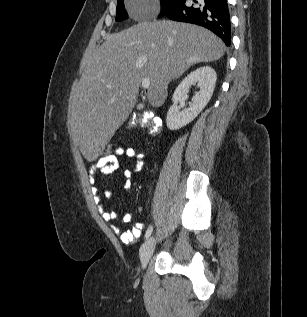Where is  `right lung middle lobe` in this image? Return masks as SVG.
Here are the masks:
<instances>
[{"label":"right lung middle lobe","mask_w":307,"mask_h":317,"mask_svg":"<svg viewBox=\"0 0 307 317\" xmlns=\"http://www.w3.org/2000/svg\"><path fill=\"white\" fill-rule=\"evenodd\" d=\"M174 2L175 0H160L161 13L164 12L167 8H169ZM126 18H127V12L125 10L123 0H120L117 3L116 21H122Z\"/></svg>","instance_id":"right-lung-middle-lobe-1"}]
</instances>
